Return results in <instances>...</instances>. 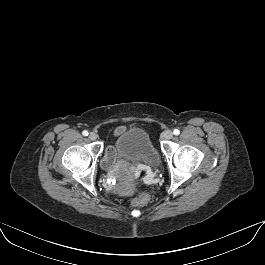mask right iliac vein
Masks as SVG:
<instances>
[{"instance_id":"63e3f726","label":"right iliac vein","mask_w":265,"mask_h":265,"mask_svg":"<svg viewBox=\"0 0 265 265\" xmlns=\"http://www.w3.org/2000/svg\"><path fill=\"white\" fill-rule=\"evenodd\" d=\"M97 134L95 133V132H91L90 134H89V139L90 140H96L97 139Z\"/></svg>"}]
</instances>
